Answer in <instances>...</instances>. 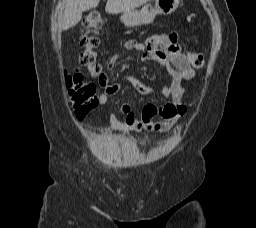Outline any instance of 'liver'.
<instances>
[{"mask_svg":"<svg viewBox=\"0 0 256 228\" xmlns=\"http://www.w3.org/2000/svg\"><path fill=\"white\" fill-rule=\"evenodd\" d=\"M150 0H107L105 11L118 14L126 10L137 8ZM64 10L61 14L60 30H67L77 25L84 11L98 6L100 0H64Z\"/></svg>","mask_w":256,"mask_h":228,"instance_id":"liver-1","label":"liver"}]
</instances>
